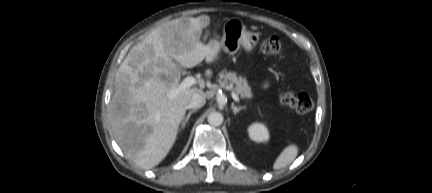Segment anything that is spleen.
I'll return each mask as SVG.
<instances>
[{
  "label": "spleen",
  "mask_w": 432,
  "mask_h": 193,
  "mask_svg": "<svg viewBox=\"0 0 432 193\" xmlns=\"http://www.w3.org/2000/svg\"><path fill=\"white\" fill-rule=\"evenodd\" d=\"M298 155V147L295 144H290L283 149L273 164L274 170L282 169L291 164Z\"/></svg>",
  "instance_id": "obj_1"
}]
</instances>
